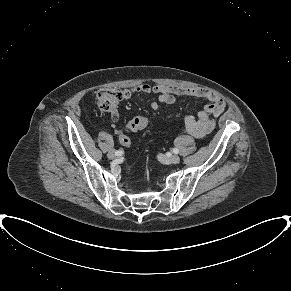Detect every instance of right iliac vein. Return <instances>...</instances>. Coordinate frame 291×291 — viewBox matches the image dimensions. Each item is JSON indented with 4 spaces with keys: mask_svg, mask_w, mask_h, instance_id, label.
Masks as SVG:
<instances>
[{
    "mask_svg": "<svg viewBox=\"0 0 291 291\" xmlns=\"http://www.w3.org/2000/svg\"><path fill=\"white\" fill-rule=\"evenodd\" d=\"M107 156H108L109 159H114V158L117 157V155L115 154L114 151H109Z\"/></svg>",
    "mask_w": 291,
    "mask_h": 291,
    "instance_id": "right-iliac-vein-1",
    "label": "right iliac vein"
}]
</instances>
